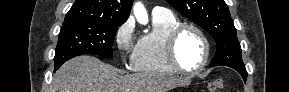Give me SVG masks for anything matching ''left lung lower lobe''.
I'll list each match as a JSON object with an SVG mask.
<instances>
[{
  "label": "left lung lower lobe",
  "mask_w": 289,
  "mask_h": 92,
  "mask_svg": "<svg viewBox=\"0 0 289 92\" xmlns=\"http://www.w3.org/2000/svg\"><path fill=\"white\" fill-rule=\"evenodd\" d=\"M235 69L236 71L239 72V74L242 76V78L244 79V81H246V78H247V71L245 68H233Z\"/></svg>",
  "instance_id": "left-lung-lower-lobe-1"
}]
</instances>
